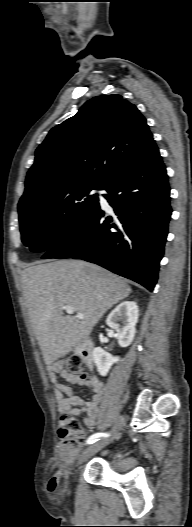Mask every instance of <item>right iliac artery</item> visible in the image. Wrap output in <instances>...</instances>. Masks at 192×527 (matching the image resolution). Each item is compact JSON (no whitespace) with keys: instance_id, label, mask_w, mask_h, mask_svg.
Segmentation results:
<instances>
[{"instance_id":"right-iliac-artery-1","label":"right iliac artery","mask_w":192,"mask_h":527,"mask_svg":"<svg viewBox=\"0 0 192 527\" xmlns=\"http://www.w3.org/2000/svg\"><path fill=\"white\" fill-rule=\"evenodd\" d=\"M109 436H110V434H108V433H95V434L91 435L87 439L86 443L87 444H92V443L100 440L101 437H109Z\"/></svg>"}]
</instances>
